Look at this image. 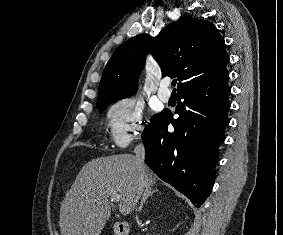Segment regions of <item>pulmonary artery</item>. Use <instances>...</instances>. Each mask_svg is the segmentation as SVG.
<instances>
[{"label":"pulmonary artery","mask_w":283,"mask_h":235,"mask_svg":"<svg viewBox=\"0 0 283 235\" xmlns=\"http://www.w3.org/2000/svg\"><path fill=\"white\" fill-rule=\"evenodd\" d=\"M169 81L164 79L160 82V86L157 92L159 99L163 102H168L171 98V92L167 89Z\"/></svg>","instance_id":"e3ab8cb5"}]
</instances>
